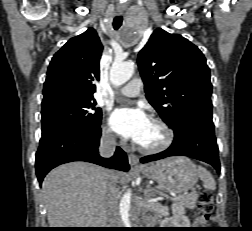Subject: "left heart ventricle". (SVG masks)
<instances>
[{
  "mask_svg": "<svg viewBox=\"0 0 252 231\" xmlns=\"http://www.w3.org/2000/svg\"><path fill=\"white\" fill-rule=\"evenodd\" d=\"M163 140L164 133L162 129L157 124L151 121L146 132L138 143L143 146L153 147L159 145Z\"/></svg>",
  "mask_w": 252,
  "mask_h": 231,
  "instance_id": "1",
  "label": "left heart ventricle"
}]
</instances>
